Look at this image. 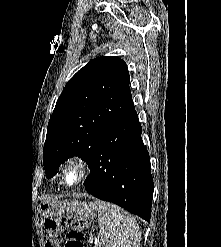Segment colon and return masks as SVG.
Returning <instances> with one entry per match:
<instances>
[{
  "instance_id": "1",
  "label": "colon",
  "mask_w": 221,
  "mask_h": 247,
  "mask_svg": "<svg viewBox=\"0 0 221 247\" xmlns=\"http://www.w3.org/2000/svg\"><path fill=\"white\" fill-rule=\"evenodd\" d=\"M84 221L77 216H61L45 221V247H60L67 230L65 247H84Z\"/></svg>"
}]
</instances>
